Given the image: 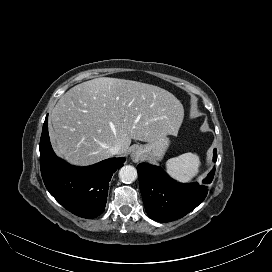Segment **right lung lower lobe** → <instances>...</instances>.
Returning a JSON list of instances; mask_svg holds the SVG:
<instances>
[{
	"mask_svg": "<svg viewBox=\"0 0 272 272\" xmlns=\"http://www.w3.org/2000/svg\"><path fill=\"white\" fill-rule=\"evenodd\" d=\"M124 162L110 158L87 167L69 165L52 150L46 117L40 140L42 178L50 194L73 214L95 218L104 211L111 177Z\"/></svg>",
	"mask_w": 272,
	"mask_h": 272,
	"instance_id": "obj_1",
	"label": "right lung lower lobe"
}]
</instances>
